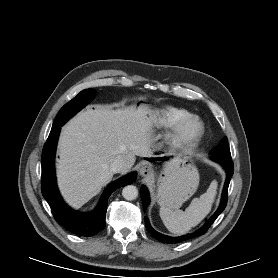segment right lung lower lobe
<instances>
[{
    "instance_id": "right-lung-lower-lobe-1",
    "label": "right lung lower lobe",
    "mask_w": 278,
    "mask_h": 278,
    "mask_svg": "<svg viewBox=\"0 0 278 278\" xmlns=\"http://www.w3.org/2000/svg\"><path fill=\"white\" fill-rule=\"evenodd\" d=\"M60 129L61 126L51 129L43 147L41 159L42 194L49 203L55 220L60 225L74 234L92 236L105 228L107 203L111 193L121 186L132 184L136 179V173H130L110 184L93 212L80 213L69 208L59 194L55 178L54 159Z\"/></svg>"
}]
</instances>
